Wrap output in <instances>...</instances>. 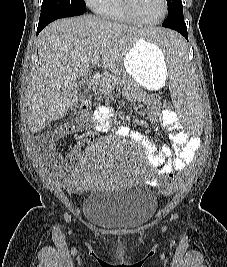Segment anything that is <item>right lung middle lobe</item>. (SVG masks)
<instances>
[{
    "label": "right lung middle lobe",
    "mask_w": 227,
    "mask_h": 267,
    "mask_svg": "<svg viewBox=\"0 0 227 267\" xmlns=\"http://www.w3.org/2000/svg\"><path fill=\"white\" fill-rule=\"evenodd\" d=\"M87 10L84 0H43L41 13Z\"/></svg>",
    "instance_id": "right-lung-middle-lobe-1"
}]
</instances>
